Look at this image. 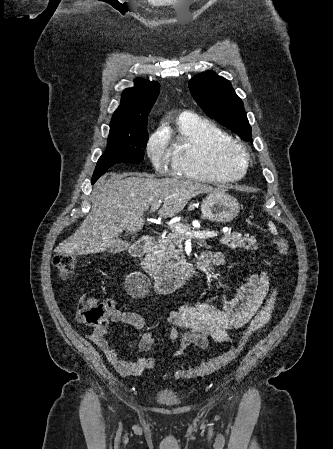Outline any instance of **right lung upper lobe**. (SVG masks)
I'll return each mask as SVG.
<instances>
[{
	"mask_svg": "<svg viewBox=\"0 0 333 449\" xmlns=\"http://www.w3.org/2000/svg\"><path fill=\"white\" fill-rule=\"evenodd\" d=\"M160 86L157 82L136 79L134 88L125 89L121 104L114 112L111 123V137H133L141 133L147 116L158 97Z\"/></svg>",
	"mask_w": 333,
	"mask_h": 449,
	"instance_id": "obj_1",
	"label": "right lung upper lobe"
}]
</instances>
